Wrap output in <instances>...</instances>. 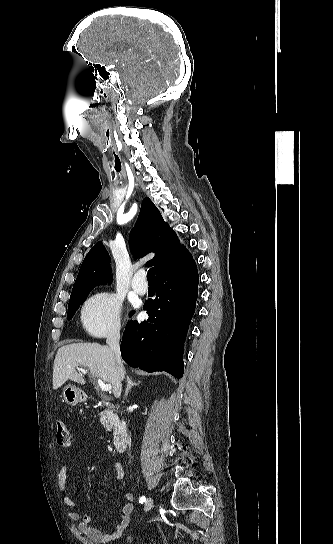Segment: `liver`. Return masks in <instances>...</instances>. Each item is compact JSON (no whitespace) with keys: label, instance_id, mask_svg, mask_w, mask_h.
I'll return each mask as SVG.
<instances>
[{"label":"liver","instance_id":"1","mask_svg":"<svg viewBox=\"0 0 333 544\" xmlns=\"http://www.w3.org/2000/svg\"><path fill=\"white\" fill-rule=\"evenodd\" d=\"M77 366L88 368L93 376L109 383L115 398L121 396V379L110 347L98 343H72L60 347L54 360L53 389L60 388L68 379L85 384L75 369Z\"/></svg>","mask_w":333,"mask_h":544}]
</instances>
